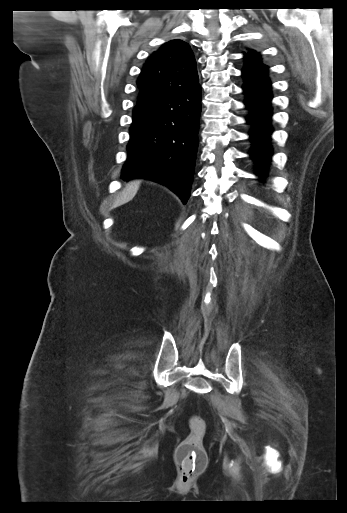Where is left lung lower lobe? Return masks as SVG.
<instances>
[{"label": "left lung lower lobe", "mask_w": 347, "mask_h": 513, "mask_svg": "<svg viewBox=\"0 0 347 513\" xmlns=\"http://www.w3.org/2000/svg\"><path fill=\"white\" fill-rule=\"evenodd\" d=\"M246 59V66L242 70L245 79L243 90L248 97L245 104L252 112L246 119L255 127L250 132L254 144L250 154L262 170L259 175L264 176L267 163L272 155L269 145L272 132L270 126L271 83L267 74L268 67L261 63L259 56L246 57Z\"/></svg>", "instance_id": "1"}]
</instances>
